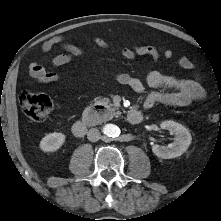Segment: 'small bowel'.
Listing matches in <instances>:
<instances>
[{"label": "small bowel", "mask_w": 221, "mask_h": 221, "mask_svg": "<svg viewBox=\"0 0 221 221\" xmlns=\"http://www.w3.org/2000/svg\"><path fill=\"white\" fill-rule=\"evenodd\" d=\"M64 38L60 35L54 36L41 45L43 53H49L57 46H62L64 52L56 55L51 60V65L59 67L70 63L73 57L82 56L85 48L76 45H63ZM95 44L100 47H107V44L96 39ZM120 55L127 59L133 60L138 55H148L154 62L160 59L162 53L166 59H171L173 53L170 49H163L156 46L135 45L124 47L119 51ZM177 64L182 69L191 70L194 64L186 57L177 60ZM29 75L35 81L40 83L56 82L61 79L60 74L48 70L43 63L32 62L29 65ZM117 82L129 86L136 93H142L145 88L144 82L138 77L127 73H120L115 76ZM145 83L153 90L147 95L144 103V109H150L155 104H164L174 107H187L195 101H201L205 98V91L197 80L180 78L160 71H151L146 75Z\"/></svg>", "instance_id": "c3829d8e"}]
</instances>
